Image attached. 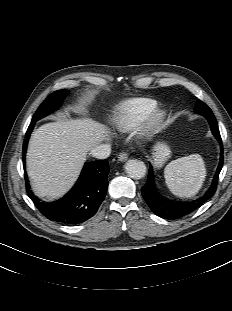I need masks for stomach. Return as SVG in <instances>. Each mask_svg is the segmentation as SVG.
<instances>
[{
	"label": "stomach",
	"instance_id": "obj_1",
	"mask_svg": "<svg viewBox=\"0 0 232 311\" xmlns=\"http://www.w3.org/2000/svg\"><path fill=\"white\" fill-rule=\"evenodd\" d=\"M171 155L170 147L166 143H157L152 152L153 163L156 167H161Z\"/></svg>",
	"mask_w": 232,
	"mask_h": 311
}]
</instances>
